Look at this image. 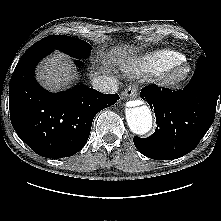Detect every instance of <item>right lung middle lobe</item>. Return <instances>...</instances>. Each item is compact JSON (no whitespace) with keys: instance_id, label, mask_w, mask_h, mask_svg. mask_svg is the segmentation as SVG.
I'll use <instances>...</instances> for the list:
<instances>
[{"instance_id":"obj_1","label":"right lung middle lobe","mask_w":221,"mask_h":221,"mask_svg":"<svg viewBox=\"0 0 221 221\" xmlns=\"http://www.w3.org/2000/svg\"><path fill=\"white\" fill-rule=\"evenodd\" d=\"M38 43L46 44L77 59L88 57L91 50L87 42L66 35H51L41 39Z\"/></svg>"}]
</instances>
